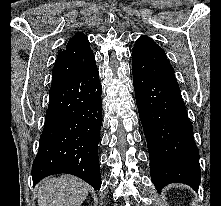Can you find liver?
Segmentation results:
<instances>
[{"label":"liver","mask_w":221,"mask_h":206,"mask_svg":"<svg viewBox=\"0 0 221 206\" xmlns=\"http://www.w3.org/2000/svg\"><path fill=\"white\" fill-rule=\"evenodd\" d=\"M88 191L84 181L71 175L46 179L38 191V206H80Z\"/></svg>","instance_id":"obj_1"}]
</instances>
